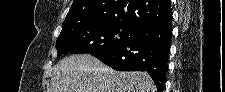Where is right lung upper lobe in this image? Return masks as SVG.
<instances>
[{"instance_id": "cb5924a9", "label": "right lung upper lobe", "mask_w": 225, "mask_h": 92, "mask_svg": "<svg viewBox=\"0 0 225 92\" xmlns=\"http://www.w3.org/2000/svg\"><path fill=\"white\" fill-rule=\"evenodd\" d=\"M171 20L169 0H74L62 30L85 22H118L140 28Z\"/></svg>"}]
</instances>
